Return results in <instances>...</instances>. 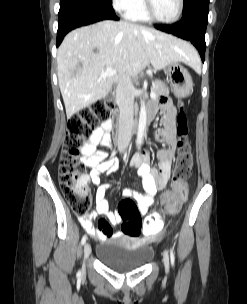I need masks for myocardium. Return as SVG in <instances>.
Returning <instances> with one entry per match:
<instances>
[{
    "label": "myocardium",
    "instance_id": "myocardium-1",
    "mask_svg": "<svg viewBox=\"0 0 247 304\" xmlns=\"http://www.w3.org/2000/svg\"><path fill=\"white\" fill-rule=\"evenodd\" d=\"M144 3V9H145V13L148 16V18L156 23H160V24H166V25H170V24H174L176 23L182 16L183 10H184V0H179V7H178V11L176 13V15L170 19V20H162L159 19L152 8V4H151V0H143Z\"/></svg>",
    "mask_w": 247,
    "mask_h": 304
}]
</instances>
